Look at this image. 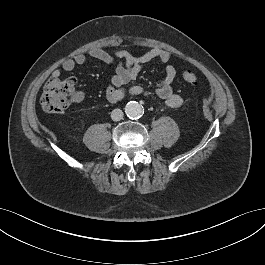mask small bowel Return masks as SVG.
Instances as JSON below:
<instances>
[{"instance_id": "obj_1", "label": "small bowel", "mask_w": 265, "mask_h": 265, "mask_svg": "<svg viewBox=\"0 0 265 265\" xmlns=\"http://www.w3.org/2000/svg\"><path fill=\"white\" fill-rule=\"evenodd\" d=\"M88 56L100 60L105 63L116 64V73L111 78L110 84L106 90V98L110 103H116L126 95L125 86L132 80L136 79L141 69L146 64L158 60L165 64L164 77L155 88L156 97L167 107L177 108L183 104V98L174 92L172 83L176 77V68L169 62L171 54L163 49H152L141 55H132L125 50H115L108 53L99 48H92L88 51ZM87 55L77 53L72 58L65 59L62 64V70L72 71L77 65H82L86 62ZM61 70L56 69L52 72V76H60ZM132 95H149L141 86H132L129 89ZM84 99V94L77 91L74 96L75 102H81Z\"/></svg>"}]
</instances>
